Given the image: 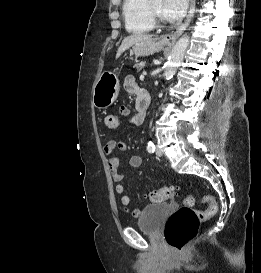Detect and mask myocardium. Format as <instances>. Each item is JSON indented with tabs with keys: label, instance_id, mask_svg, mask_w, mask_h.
Wrapping results in <instances>:
<instances>
[{
	"label": "myocardium",
	"instance_id": "obj_1",
	"mask_svg": "<svg viewBox=\"0 0 261 273\" xmlns=\"http://www.w3.org/2000/svg\"><path fill=\"white\" fill-rule=\"evenodd\" d=\"M147 8L154 26L155 27L163 26L165 24V20L159 15L157 10L153 7L151 0H148Z\"/></svg>",
	"mask_w": 261,
	"mask_h": 273
}]
</instances>
